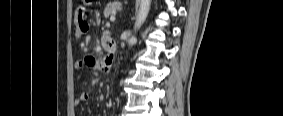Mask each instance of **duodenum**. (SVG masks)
I'll return each mask as SVG.
<instances>
[{"label": "duodenum", "instance_id": "duodenum-1", "mask_svg": "<svg viewBox=\"0 0 283 116\" xmlns=\"http://www.w3.org/2000/svg\"><path fill=\"white\" fill-rule=\"evenodd\" d=\"M103 44L107 48V51L109 53V58L112 59L113 54H114V52L116 50L114 42L111 41L110 39L104 38ZM108 70L109 69H107L105 71L107 72Z\"/></svg>", "mask_w": 283, "mask_h": 116}]
</instances>
